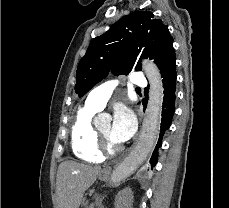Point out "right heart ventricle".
<instances>
[{"mask_svg":"<svg viewBox=\"0 0 229 208\" xmlns=\"http://www.w3.org/2000/svg\"><path fill=\"white\" fill-rule=\"evenodd\" d=\"M97 111L86 105L77 112L70 130L71 150L76 159L86 163L98 162L103 153H97L98 143H101L92 125V119Z\"/></svg>","mask_w":229,"mask_h":208,"instance_id":"right-heart-ventricle-1","label":"right heart ventricle"}]
</instances>
